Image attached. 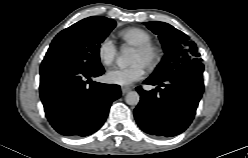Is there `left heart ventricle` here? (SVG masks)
Instances as JSON below:
<instances>
[{
    "label": "left heart ventricle",
    "instance_id": "b2bd125f",
    "mask_svg": "<svg viewBox=\"0 0 248 158\" xmlns=\"http://www.w3.org/2000/svg\"><path fill=\"white\" fill-rule=\"evenodd\" d=\"M137 62H141L145 65L146 63V58L143 54H141L140 52H138L137 50H135L133 58H132V63H137Z\"/></svg>",
    "mask_w": 248,
    "mask_h": 158
}]
</instances>
